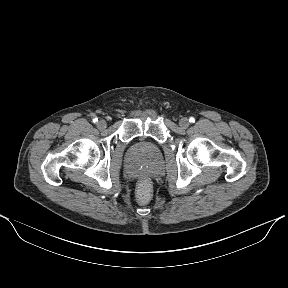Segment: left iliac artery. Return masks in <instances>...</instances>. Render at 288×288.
<instances>
[{"mask_svg":"<svg viewBox=\"0 0 288 288\" xmlns=\"http://www.w3.org/2000/svg\"><path fill=\"white\" fill-rule=\"evenodd\" d=\"M189 122L190 123H194L195 122V118L194 117H190Z\"/></svg>","mask_w":288,"mask_h":288,"instance_id":"left-iliac-artery-1","label":"left iliac artery"}]
</instances>
